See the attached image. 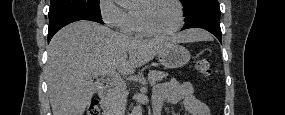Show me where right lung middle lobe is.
I'll list each match as a JSON object with an SVG mask.
<instances>
[{"label":"right lung middle lobe","instance_id":"1","mask_svg":"<svg viewBox=\"0 0 285 115\" xmlns=\"http://www.w3.org/2000/svg\"><path fill=\"white\" fill-rule=\"evenodd\" d=\"M67 13L101 16L99 0H51L49 20Z\"/></svg>","mask_w":285,"mask_h":115}]
</instances>
